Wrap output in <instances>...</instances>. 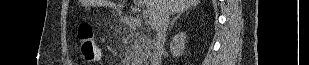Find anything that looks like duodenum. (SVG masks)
I'll return each instance as SVG.
<instances>
[{
	"label": "duodenum",
	"instance_id": "obj_1",
	"mask_svg": "<svg viewBox=\"0 0 309 65\" xmlns=\"http://www.w3.org/2000/svg\"><path fill=\"white\" fill-rule=\"evenodd\" d=\"M123 23L131 31H135L140 27L139 22L135 18L129 16L123 18Z\"/></svg>",
	"mask_w": 309,
	"mask_h": 65
}]
</instances>
